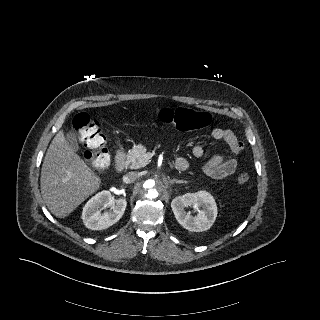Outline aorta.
I'll return each instance as SVG.
<instances>
[{
  "label": "aorta",
  "mask_w": 320,
  "mask_h": 320,
  "mask_svg": "<svg viewBox=\"0 0 320 320\" xmlns=\"http://www.w3.org/2000/svg\"><path fill=\"white\" fill-rule=\"evenodd\" d=\"M161 186L159 179H145L141 185L142 196L148 200H156L160 195Z\"/></svg>",
  "instance_id": "obj_1"
}]
</instances>
